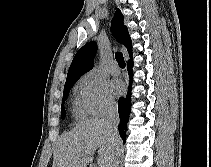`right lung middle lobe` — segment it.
<instances>
[{
    "instance_id": "dd1d6c3e",
    "label": "right lung middle lobe",
    "mask_w": 211,
    "mask_h": 167,
    "mask_svg": "<svg viewBox=\"0 0 211 167\" xmlns=\"http://www.w3.org/2000/svg\"><path fill=\"white\" fill-rule=\"evenodd\" d=\"M76 81H77V79L71 80V81H68L65 83L64 92H63V103L67 99L70 89L73 87V85L75 84ZM65 116H66L65 108L62 105L61 106V118L63 119V118H65Z\"/></svg>"
}]
</instances>
